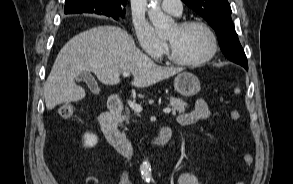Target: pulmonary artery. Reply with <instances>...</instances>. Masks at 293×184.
Instances as JSON below:
<instances>
[{
	"label": "pulmonary artery",
	"instance_id": "e3ab8cb5",
	"mask_svg": "<svg viewBox=\"0 0 293 184\" xmlns=\"http://www.w3.org/2000/svg\"><path fill=\"white\" fill-rule=\"evenodd\" d=\"M161 7L165 12L174 16H180L183 11L181 0H163Z\"/></svg>",
	"mask_w": 293,
	"mask_h": 184
}]
</instances>
